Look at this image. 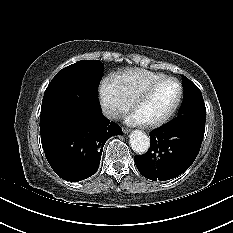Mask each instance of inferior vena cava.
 Segmentation results:
<instances>
[{
  "label": "inferior vena cava",
  "instance_id": "obj_1",
  "mask_svg": "<svg viewBox=\"0 0 233 233\" xmlns=\"http://www.w3.org/2000/svg\"><path fill=\"white\" fill-rule=\"evenodd\" d=\"M102 111L104 115H106L109 118H112L116 115L115 109L109 105H104Z\"/></svg>",
  "mask_w": 233,
  "mask_h": 233
}]
</instances>
